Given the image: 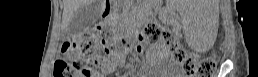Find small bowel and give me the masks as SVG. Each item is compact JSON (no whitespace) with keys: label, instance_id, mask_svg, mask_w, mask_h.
<instances>
[{"label":"small bowel","instance_id":"obj_1","mask_svg":"<svg viewBox=\"0 0 258 77\" xmlns=\"http://www.w3.org/2000/svg\"><path fill=\"white\" fill-rule=\"evenodd\" d=\"M151 56L152 61H155L159 56V49L153 48ZM125 54L123 52L112 53L107 57H102L100 62L101 70L95 73V76H106L113 72L122 62ZM152 67H146L144 73H150Z\"/></svg>","mask_w":258,"mask_h":77}]
</instances>
